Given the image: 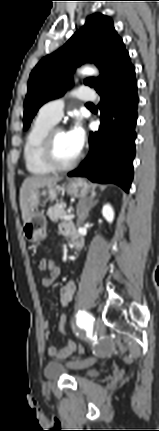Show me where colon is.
<instances>
[{"instance_id":"colon-1","label":"colon","mask_w":159,"mask_h":431,"mask_svg":"<svg viewBox=\"0 0 159 431\" xmlns=\"http://www.w3.org/2000/svg\"><path fill=\"white\" fill-rule=\"evenodd\" d=\"M47 268H48V272H50V273H53V272H55V270H56V267H55V262H54V257L53 256H48L47 257ZM50 283H55V278H50ZM68 318H69V315L66 313V312H63L62 314H61V318H60V320H59V325H58V334H59V336H66V325H67V322H68ZM78 355H83V351H84V345H82V342L81 341H78Z\"/></svg>"}]
</instances>
